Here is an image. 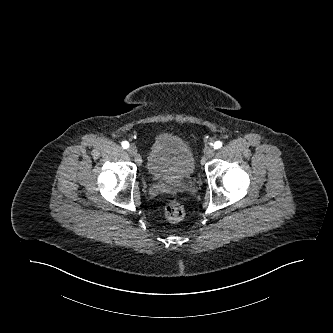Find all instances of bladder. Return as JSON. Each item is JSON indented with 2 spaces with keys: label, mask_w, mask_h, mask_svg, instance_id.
<instances>
[{
  "label": "bladder",
  "mask_w": 333,
  "mask_h": 333,
  "mask_svg": "<svg viewBox=\"0 0 333 333\" xmlns=\"http://www.w3.org/2000/svg\"><path fill=\"white\" fill-rule=\"evenodd\" d=\"M146 169L155 181H184L194 173V155L180 136L163 132L156 135L150 144Z\"/></svg>",
  "instance_id": "31cf9c89"
}]
</instances>
